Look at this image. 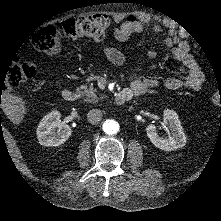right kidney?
Listing matches in <instances>:
<instances>
[{
	"mask_svg": "<svg viewBox=\"0 0 221 221\" xmlns=\"http://www.w3.org/2000/svg\"><path fill=\"white\" fill-rule=\"evenodd\" d=\"M61 113L53 110L45 115L36 129L37 139L43 146H59L71 136L69 125L60 120Z\"/></svg>",
	"mask_w": 221,
	"mask_h": 221,
	"instance_id": "1",
	"label": "right kidney"
}]
</instances>
